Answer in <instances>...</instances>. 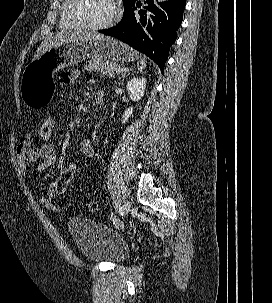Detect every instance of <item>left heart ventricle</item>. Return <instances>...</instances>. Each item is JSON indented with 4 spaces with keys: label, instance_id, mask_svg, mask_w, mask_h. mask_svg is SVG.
Here are the masks:
<instances>
[{
    "label": "left heart ventricle",
    "instance_id": "left-heart-ventricle-1",
    "mask_svg": "<svg viewBox=\"0 0 272 303\" xmlns=\"http://www.w3.org/2000/svg\"><path fill=\"white\" fill-rule=\"evenodd\" d=\"M112 0H78L75 5V16L81 21L99 25L106 22L113 14Z\"/></svg>",
    "mask_w": 272,
    "mask_h": 303
}]
</instances>
